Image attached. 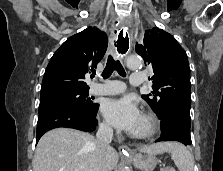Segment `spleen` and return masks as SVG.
<instances>
[{"label": "spleen", "mask_w": 223, "mask_h": 171, "mask_svg": "<svg viewBox=\"0 0 223 171\" xmlns=\"http://www.w3.org/2000/svg\"><path fill=\"white\" fill-rule=\"evenodd\" d=\"M172 160L179 171H193L194 159L190 151L179 143H169Z\"/></svg>", "instance_id": "spleen-1"}]
</instances>
